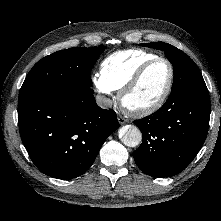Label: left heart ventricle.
Wrapping results in <instances>:
<instances>
[{"label":"left heart ventricle","instance_id":"left-heart-ventricle-1","mask_svg":"<svg viewBox=\"0 0 221 221\" xmlns=\"http://www.w3.org/2000/svg\"><path fill=\"white\" fill-rule=\"evenodd\" d=\"M169 79V67L164 62L154 64L138 85L126 96L125 104L131 108L147 106L156 101L164 91Z\"/></svg>","mask_w":221,"mask_h":221}]
</instances>
